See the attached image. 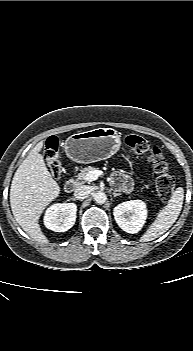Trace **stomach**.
<instances>
[{
	"mask_svg": "<svg viewBox=\"0 0 193 351\" xmlns=\"http://www.w3.org/2000/svg\"><path fill=\"white\" fill-rule=\"evenodd\" d=\"M120 137L113 128H97L71 135L64 148L72 161L89 164L107 159L118 152Z\"/></svg>",
	"mask_w": 193,
	"mask_h": 351,
	"instance_id": "stomach-1",
	"label": "stomach"
}]
</instances>
